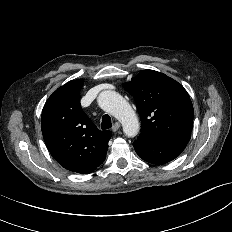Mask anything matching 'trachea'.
I'll list each match as a JSON object with an SVG mask.
<instances>
[{"mask_svg": "<svg viewBox=\"0 0 232 232\" xmlns=\"http://www.w3.org/2000/svg\"><path fill=\"white\" fill-rule=\"evenodd\" d=\"M112 127V122H111V118L109 115L105 114L102 117V122H101V128L102 129H109Z\"/></svg>", "mask_w": 232, "mask_h": 232, "instance_id": "obj_1", "label": "trachea"}]
</instances>
